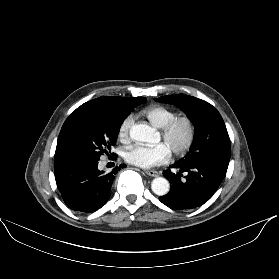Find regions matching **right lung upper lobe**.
<instances>
[{"instance_id":"cb5924a9","label":"right lung upper lobe","mask_w":279,"mask_h":279,"mask_svg":"<svg viewBox=\"0 0 279 279\" xmlns=\"http://www.w3.org/2000/svg\"><path fill=\"white\" fill-rule=\"evenodd\" d=\"M141 97L135 98H124V97H110V96H102L91 101H88L78 107L65 121L64 127L68 122H70L75 117L83 114L87 111L102 109V108H111V107H119V106H131L135 105L140 101ZM61 161L56 157L54 158V165L60 163Z\"/></svg>"}]
</instances>
